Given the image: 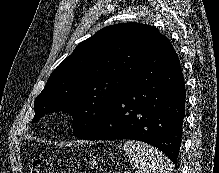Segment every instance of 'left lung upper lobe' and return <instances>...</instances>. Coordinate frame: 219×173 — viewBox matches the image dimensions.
Segmentation results:
<instances>
[{
	"instance_id": "left-lung-upper-lobe-1",
	"label": "left lung upper lobe",
	"mask_w": 219,
	"mask_h": 173,
	"mask_svg": "<svg viewBox=\"0 0 219 173\" xmlns=\"http://www.w3.org/2000/svg\"><path fill=\"white\" fill-rule=\"evenodd\" d=\"M167 39L150 25L105 27L81 42L50 75L34 102L38 121L47 113L73 116V133L91 132L109 109L136 83V72Z\"/></svg>"
}]
</instances>
